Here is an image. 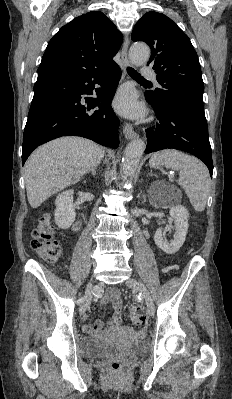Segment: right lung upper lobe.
I'll use <instances>...</instances> for the list:
<instances>
[{
    "label": "right lung upper lobe",
    "mask_w": 232,
    "mask_h": 399,
    "mask_svg": "<svg viewBox=\"0 0 232 399\" xmlns=\"http://www.w3.org/2000/svg\"><path fill=\"white\" fill-rule=\"evenodd\" d=\"M123 37L100 11H90L63 26L50 40L38 74L83 72L114 64Z\"/></svg>",
    "instance_id": "cb5924a9"
}]
</instances>
